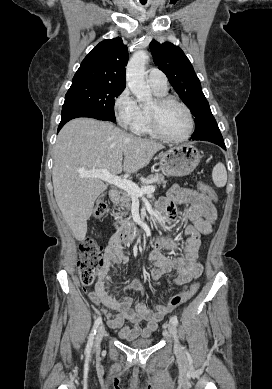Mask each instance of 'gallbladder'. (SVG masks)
<instances>
[{"mask_svg":"<svg viewBox=\"0 0 272 389\" xmlns=\"http://www.w3.org/2000/svg\"><path fill=\"white\" fill-rule=\"evenodd\" d=\"M104 195H105V194L103 193L100 197H104Z\"/></svg>","mask_w":272,"mask_h":389,"instance_id":"gallbladder-1","label":"gallbladder"}]
</instances>
